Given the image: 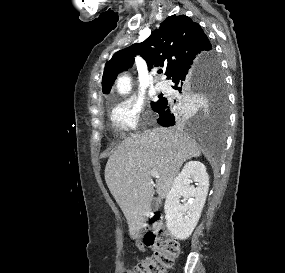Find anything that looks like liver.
<instances>
[{
	"instance_id": "liver-1",
	"label": "liver",
	"mask_w": 285,
	"mask_h": 273,
	"mask_svg": "<svg viewBox=\"0 0 285 273\" xmlns=\"http://www.w3.org/2000/svg\"><path fill=\"white\" fill-rule=\"evenodd\" d=\"M195 140L172 128H155L125 138L109 157L105 181L136 239L151 210L154 188L150 171L156 170L157 206L167 197L182 164L199 157Z\"/></svg>"
}]
</instances>
